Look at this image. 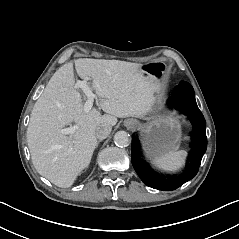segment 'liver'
<instances>
[{
    "mask_svg": "<svg viewBox=\"0 0 239 239\" xmlns=\"http://www.w3.org/2000/svg\"><path fill=\"white\" fill-rule=\"evenodd\" d=\"M77 74L92 81L97 108L84 109L85 98L75 85L73 63L63 65L45 87L31 112L27 143L37 172L54 185L69 188L92 161L98 141L96 129L116 125L117 118L139 117L154 101L162 85L143 64L121 60L79 58ZM74 123L69 136L60 129Z\"/></svg>",
    "mask_w": 239,
    "mask_h": 239,
    "instance_id": "obj_1",
    "label": "liver"
}]
</instances>
